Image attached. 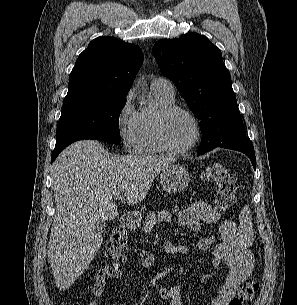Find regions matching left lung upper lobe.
I'll list each match as a JSON object with an SVG mask.
<instances>
[{
    "mask_svg": "<svg viewBox=\"0 0 297 305\" xmlns=\"http://www.w3.org/2000/svg\"><path fill=\"white\" fill-rule=\"evenodd\" d=\"M152 52L162 74L175 82L200 120L203 139L199 151L246 135L230 73L220 49L207 37L188 33L162 39Z\"/></svg>",
    "mask_w": 297,
    "mask_h": 305,
    "instance_id": "5c2ea615",
    "label": "left lung upper lobe"
}]
</instances>
